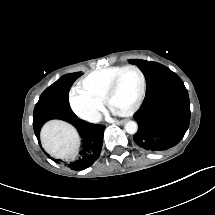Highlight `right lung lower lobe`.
Instances as JSON below:
<instances>
[{"label": "right lung lower lobe", "mask_w": 215, "mask_h": 215, "mask_svg": "<svg viewBox=\"0 0 215 215\" xmlns=\"http://www.w3.org/2000/svg\"><path fill=\"white\" fill-rule=\"evenodd\" d=\"M50 119H61L71 123L77 128L80 136L83 139L80 155L75 161L69 163V167L72 170L77 171L90 167L100 155L105 126L90 124L81 119H78L76 116L67 117L64 115H55L51 117L41 118L35 122L33 121L34 131L40 145L41 127L46 121ZM47 156L50 157L48 154ZM55 161L59 162V160Z\"/></svg>", "instance_id": "right-lung-lower-lobe-1"}]
</instances>
